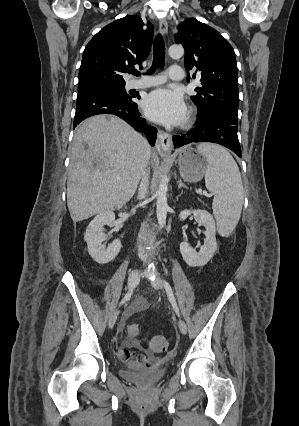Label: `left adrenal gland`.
I'll return each mask as SVG.
<instances>
[{"instance_id": "1", "label": "left adrenal gland", "mask_w": 299, "mask_h": 426, "mask_svg": "<svg viewBox=\"0 0 299 426\" xmlns=\"http://www.w3.org/2000/svg\"><path fill=\"white\" fill-rule=\"evenodd\" d=\"M180 188H188L183 182H182V180L181 179H179L178 180V189H180Z\"/></svg>"}]
</instances>
